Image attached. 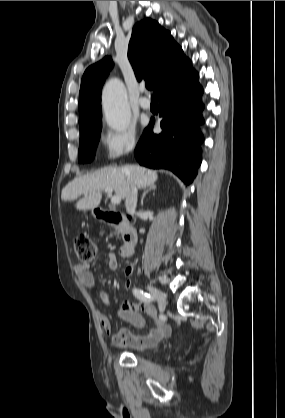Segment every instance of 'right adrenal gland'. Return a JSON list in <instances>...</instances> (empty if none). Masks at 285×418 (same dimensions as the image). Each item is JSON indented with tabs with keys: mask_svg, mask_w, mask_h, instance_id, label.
Here are the masks:
<instances>
[{
	"mask_svg": "<svg viewBox=\"0 0 285 418\" xmlns=\"http://www.w3.org/2000/svg\"><path fill=\"white\" fill-rule=\"evenodd\" d=\"M155 189H156V185H149V186L144 188V191H143V194H142V197H141V205H143L144 198H145L146 194L149 191H155Z\"/></svg>",
	"mask_w": 285,
	"mask_h": 418,
	"instance_id": "2a0ac1e0",
	"label": "right adrenal gland"
}]
</instances>
